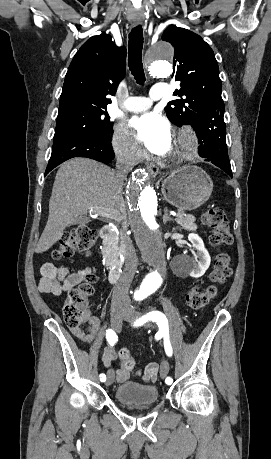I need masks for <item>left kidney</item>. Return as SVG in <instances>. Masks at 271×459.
Segmentation results:
<instances>
[{
    "instance_id": "obj_1",
    "label": "left kidney",
    "mask_w": 271,
    "mask_h": 459,
    "mask_svg": "<svg viewBox=\"0 0 271 459\" xmlns=\"http://www.w3.org/2000/svg\"><path fill=\"white\" fill-rule=\"evenodd\" d=\"M189 241L192 243V247H196V257L198 259H189L184 263L187 273L192 277H201L208 269L211 261V257L203 243V239L197 235V233H189Z\"/></svg>"
}]
</instances>
